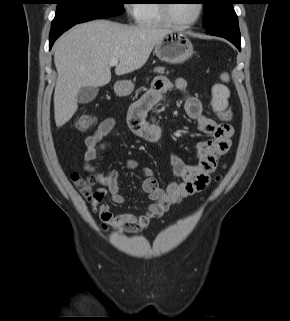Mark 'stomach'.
Here are the masks:
<instances>
[{
    "label": "stomach",
    "mask_w": 290,
    "mask_h": 321,
    "mask_svg": "<svg viewBox=\"0 0 290 321\" xmlns=\"http://www.w3.org/2000/svg\"><path fill=\"white\" fill-rule=\"evenodd\" d=\"M154 53L161 61L180 64L187 61L194 50L184 33L171 31L155 45ZM133 89L134 84L131 81H118L114 85V91L119 96H127Z\"/></svg>",
    "instance_id": "obj_1"
}]
</instances>
